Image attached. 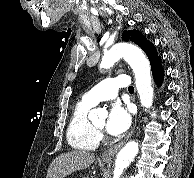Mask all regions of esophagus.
<instances>
[{
  "instance_id": "obj_1",
  "label": "esophagus",
  "mask_w": 194,
  "mask_h": 178,
  "mask_svg": "<svg viewBox=\"0 0 194 178\" xmlns=\"http://www.w3.org/2000/svg\"><path fill=\"white\" fill-rule=\"evenodd\" d=\"M135 129V124L133 125L131 131L129 132V134L118 144L112 146L111 148H109L108 150L104 151L101 154V158L103 159H112L117 153L118 151L123 147V145L127 142V140L132 136L133 132Z\"/></svg>"
}]
</instances>
